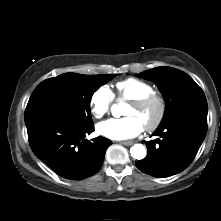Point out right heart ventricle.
<instances>
[{
  "mask_svg": "<svg viewBox=\"0 0 221 221\" xmlns=\"http://www.w3.org/2000/svg\"><path fill=\"white\" fill-rule=\"evenodd\" d=\"M116 91L119 99L131 101L154 93V88L146 81L127 78L117 82Z\"/></svg>",
  "mask_w": 221,
  "mask_h": 221,
  "instance_id": "1",
  "label": "right heart ventricle"
}]
</instances>
